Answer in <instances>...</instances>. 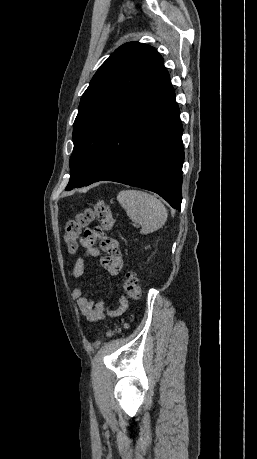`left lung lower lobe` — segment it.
<instances>
[{
  "mask_svg": "<svg viewBox=\"0 0 257 459\" xmlns=\"http://www.w3.org/2000/svg\"><path fill=\"white\" fill-rule=\"evenodd\" d=\"M182 132L175 92L162 66L115 126L107 158L93 182L109 180L150 190L180 209Z\"/></svg>",
  "mask_w": 257,
  "mask_h": 459,
  "instance_id": "1",
  "label": "left lung lower lobe"
}]
</instances>
